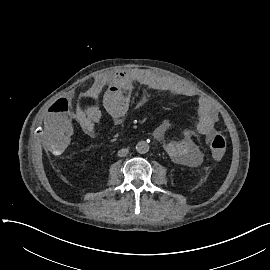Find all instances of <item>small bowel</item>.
<instances>
[{
  "mask_svg": "<svg viewBox=\"0 0 270 270\" xmlns=\"http://www.w3.org/2000/svg\"><path fill=\"white\" fill-rule=\"evenodd\" d=\"M134 84L150 91H167L184 97L195 98L196 92L185 84L157 71L131 68L98 76L82 95L86 104L77 110V99L71 93L56 94L45 106L41 121L40 139L51 151H60L73 143V133L78 126L88 135H97V126L103 121L102 112L92 101L102 96V104L115 126H121L129 111ZM148 98L143 94L140 103ZM77 110V111H76ZM74 118L72 115L74 112ZM216 114L205 98L198 99L197 133L209 136L215 132ZM168 124H159L154 138L161 142L166 152L177 162L191 167L203 161V152L193 139V131L184 129L178 139L167 140Z\"/></svg>",
  "mask_w": 270,
  "mask_h": 270,
  "instance_id": "small-bowel-1",
  "label": "small bowel"
}]
</instances>
